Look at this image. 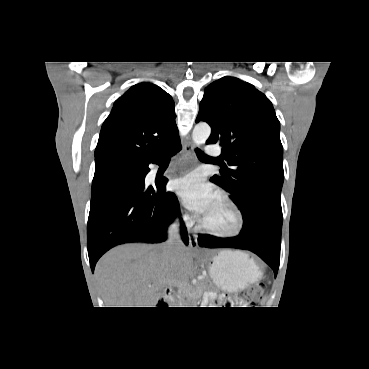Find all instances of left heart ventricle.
<instances>
[{
    "mask_svg": "<svg viewBox=\"0 0 369 369\" xmlns=\"http://www.w3.org/2000/svg\"><path fill=\"white\" fill-rule=\"evenodd\" d=\"M203 222L220 232H228L235 225V216L231 209L218 198L210 209L202 216Z\"/></svg>",
    "mask_w": 369,
    "mask_h": 369,
    "instance_id": "left-heart-ventricle-1",
    "label": "left heart ventricle"
}]
</instances>
